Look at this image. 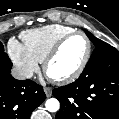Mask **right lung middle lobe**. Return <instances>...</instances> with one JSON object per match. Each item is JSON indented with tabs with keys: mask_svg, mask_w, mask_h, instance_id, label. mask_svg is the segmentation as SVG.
<instances>
[{
	"mask_svg": "<svg viewBox=\"0 0 119 119\" xmlns=\"http://www.w3.org/2000/svg\"><path fill=\"white\" fill-rule=\"evenodd\" d=\"M0 64L8 67H12V62L8 55L4 52V46L0 42Z\"/></svg>",
	"mask_w": 119,
	"mask_h": 119,
	"instance_id": "dd1d6c3e",
	"label": "right lung middle lobe"
}]
</instances>
